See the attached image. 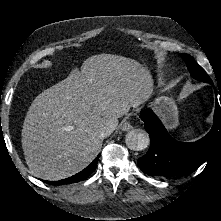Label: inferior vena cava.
Instances as JSON below:
<instances>
[{
	"instance_id": "602c4592",
	"label": "inferior vena cava",
	"mask_w": 221,
	"mask_h": 221,
	"mask_svg": "<svg viewBox=\"0 0 221 221\" xmlns=\"http://www.w3.org/2000/svg\"><path fill=\"white\" fill-rule=\"evenodd\" d=\"M114 130L115 128L113 126H105L99 131L98 137L104 139L111 135Z\"/></svg>"
}]
</instances>
